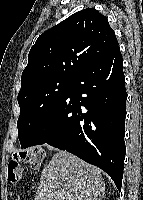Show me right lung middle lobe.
Wrapping results in <instances>:
<instances>
[{"label": "right lung middle lobe", "mask_w": 143, "mask_h": 200, "mask_svg": "<svg viewBox=\"0 0 143 200\" xmlns=\"http://www.w3.org/2000/svg\"><path fill=\"white\" fill-rule=\"evenodd\" d=\"M71 81L72 78L53 77L20 89L17 128L21 148L27 147L33 133L60 101Z\"/></svg>", "instance_id": "dd1d6c3e"}]
</instances>
